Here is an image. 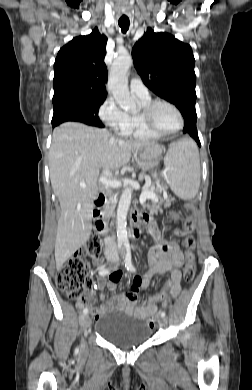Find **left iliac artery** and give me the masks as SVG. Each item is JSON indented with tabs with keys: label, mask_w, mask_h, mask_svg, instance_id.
<instances>
[{
	"label": "left iliac artery",
	"mask_w": 252,
	"mask_h": 390,
	"mask_svg": "<svg viewBox=\"0 0 252 390\" xmlns=\"http://www.w3.org/2000/svg\"><path fill=\"white\" fill-rule=\"evenodd\" d=\"M124 247L126 249L125 267L127 268L128 271L135 272V267L133 266L132 260H131L130 244L127 242L124 244ZM160 314H161V317H165V315H166L164 311H162Z\"/></svg>",
	"instance_id": "44dca946"
}]
</instances>
